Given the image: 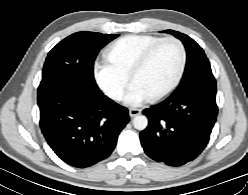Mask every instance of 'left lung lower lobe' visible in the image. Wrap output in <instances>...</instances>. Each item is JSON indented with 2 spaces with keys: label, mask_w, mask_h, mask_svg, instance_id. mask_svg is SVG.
<instances>
[{
  "label": "left lung lower lobe",
  "mask_w": 248,
  "mask_h": 195,
  "mask_svg": "<svg viewBox=\"0 0 248 195\" xmlns=\"http://www.w3.org/2000/svg\"><path fill=\"white\" fill-rule=\"evenodd\" d=\"M216 87L181 91L146 108L148 127L140 133L145 153L157 162L181 166L207 146L217 119Z\"/></svg>",
  "instance_id": "0a47b994"
}]
</instances>
